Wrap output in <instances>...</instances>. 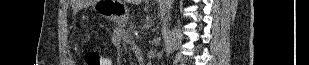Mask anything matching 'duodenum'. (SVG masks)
Instances as JSON below:
<instances>
[{
  "instance_id": "410a0bca",
  "label": "duodenum",
  "mask_w": 309,
  "mask_h": 65,
  "mask_svg": "<svg viewBox=\"0 0 309 65\" xmlns=\"http://www.w3.org/2000/svg\"><path fill=\"white\" fill-rule=\"evenodd\" d=\"M135 56L138 60L139 65H144L145 64V57L143 52L140 49L135 50Z\"/></svg>"
}]
</instances>
